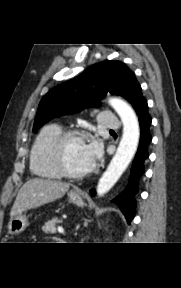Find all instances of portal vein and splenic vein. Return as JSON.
Segmentation results:
<instances>
[{"label":"portal vein and splenic vein","instance_id":"18ae733b","mask_svg":"<svg viewBox=\"0 0 181 288\" xmlns=\"http://www.w3.org/2000/svg\"><path fill=\"white\" fill-rule=\"evenodd\" d=\"M59 233L64 234V230L62 228H58Z\"/></svg>","mask_w":181,"mask_h":288}]
</instances>
